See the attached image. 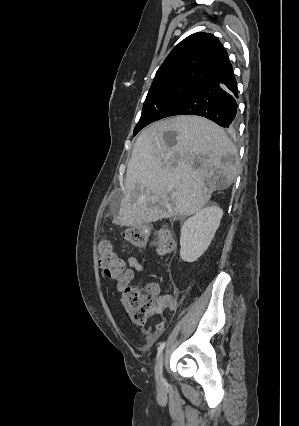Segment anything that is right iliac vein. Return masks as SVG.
<instances>
[{
	"mask_svg": "<svg viewBox=\"0 0 299 426\" xmlns=\"http://www.w3.org/2000/svg\"><path fill=\"white\" fill-rule=\"evenodd\" d=\"M163 366H164V354H162L160 356L159 362H158V380L159 383L162 382V377H163Z\"/></svg>",
	"mask_w": 299,
	"mask_h": 426,
	"instance_id": "1",
	"label": "right iliac vein"
}]
</instances>
